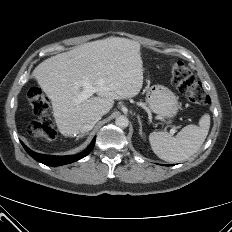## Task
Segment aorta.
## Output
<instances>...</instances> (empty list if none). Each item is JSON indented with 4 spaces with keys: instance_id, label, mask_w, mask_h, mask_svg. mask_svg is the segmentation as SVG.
<instances>
[{
    "instance_id": "aorta-1",
    "label": "aorta",
    "mask_w": 232,
    "mask_h": 232,
    "mask_svg": "<svg viewBox=\"0 0 232 232\" xmlns=\"http://www.w3.org/2000/svg\"><path fill=\"white\" fill-rule=\"evenodd\" d=\"M115 124L118 127L126 128L129 125V120H128V118L126 116L121 115V116L116 118Z\"/></svg>"
}]
</instances>
